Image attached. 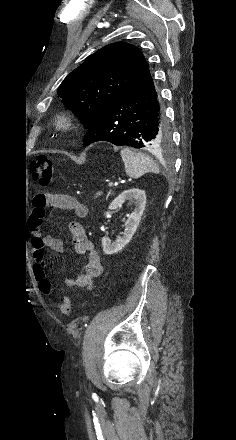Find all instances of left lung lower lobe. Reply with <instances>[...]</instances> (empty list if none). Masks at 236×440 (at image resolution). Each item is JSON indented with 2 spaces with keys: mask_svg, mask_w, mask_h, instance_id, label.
<instances>
[{
  "mask_svg": "<svg viewBox=\"0 0 236 440\" xmlns=\"http://www.w3.org/2000/svg\"><path fill=\"white\" fill-rule=\"evenodd\" d=\"M168 139L162 100L148 70L89 128L83 146L107 141L118 146L153 149Z\"/></svg>",
  "mask_w": 236,
  "mask_h": 440,
  "instance_id": "left-lung-lower-lobe-1",
  "label": "left lung lower lobe"
}]
</instances>
